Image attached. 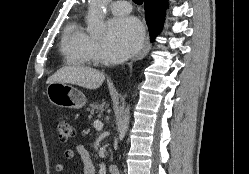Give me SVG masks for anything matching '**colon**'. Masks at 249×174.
I'll use <instances>...</instances> for the list:
<instances>
[{
	"label": "colon",
	"instance_id": "obj_1",
	"mask_svg": "<svg viewBox=\"0 0 249 174\" xmlns=\"http://www.w3.org/2000/svg\"><path fill=\"white\" fill-rule=\"evenodd\" d=\"M54 127L62 142H68L74 136L72 124L64 117L58 116L54 119Z\"/></svg>",
	"mask_w": 249,
	"mask_h": 174
}]
</instances>
